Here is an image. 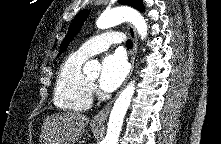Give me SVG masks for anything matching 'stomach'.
<instances>
[{"mask_svg": "<svg viewBox=\"0 0 221 144\" xmlns=\"http://www.w3.org/2000/svg\"><path fill=\"white\" fill-rule=\"evenodd\" d=\"M98 128V126L97 127H93V129H97Z\"/></svg>", "mask_w": 221, "mask_h": 144, "instance_id": "stomach-1", "label": "stomach"}]
</instances>
